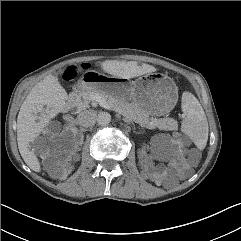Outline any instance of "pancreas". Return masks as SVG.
Returning a JSON list of instances; mask_svg holds the SVG:
<instances>
[{
	"label": "pancreas",
	"mask_w": 241,
	"mask_h": 241,
	"mask_svg": "<svg viewBox=\"0 0 241 241\" xmlns=\"http://www.w3.org/2000/svg\"><path fill=\"white\" fill-rule=\"evenodd\" d=\"M98 98L114 107L119 114L133 120L142 127H146L148 129L159 128L163 130H173L177 128V121L173 118L150 119L149 115L145 111L139 109L133 103L115 99L112 96L95 90L81 91L78 95L72 97V103L78 109H85L89 106L90 102L98 101Z\"/></svg>",
	"instance_id": "cf45deb5"
}]
</instances>
